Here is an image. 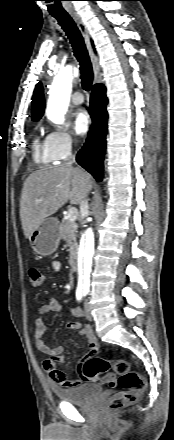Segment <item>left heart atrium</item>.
Returning <instances> with one entry per match:
<instances>
[{"label": "left heart atrium", "mask_w": 174, "mask_h": 440, "mask_svg": "<svg viewBox=\"0 0 174 440\" xmlns=\"http://www.w3.org/2000/svg\"><path fill=\"white\" fill-rule=\"evenodd\" d=\"M90 126V116L87 111L79 110L73 117V128L78 135H83L87 132Z\"/></svg>", "instance_id": "1"}]
</instances>
